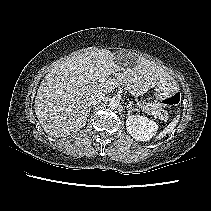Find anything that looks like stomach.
I'll return each instance as SVG.
<instances>
[{
	"label": "stomach",
	"mask_w": 211,
	"mask_h": 211,
	"mask_svg": "<svg viewBox=\"0 0 211 211\" xmlns=\"http://www.w3.org/2000/svg\"><path fill=\"white\" fill-rule=\"evenodd\" d=\"M117 56V53H116ZM115 61L117 63H119L122 67H129L131 65V63L134 64V62L136 61V58H134L133 56L131 57L129 54H120V56L115 57ZM176 85L174 82L169 81L166 83H160L157 85V96L158 98H166L168 96H170L171 94H173L176 91ZM142 90H135L133 92V95L135 96H139L142 95Z\"/></svg>",
	"instance_id": "stomach-1"
}]
</instances>
